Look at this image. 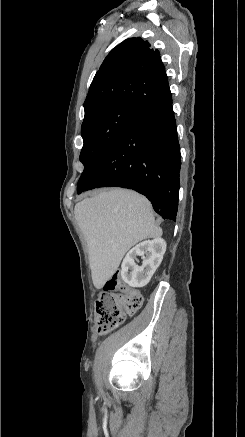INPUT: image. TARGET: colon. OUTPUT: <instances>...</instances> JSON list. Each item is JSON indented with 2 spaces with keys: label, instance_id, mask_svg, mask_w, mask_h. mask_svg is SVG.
Returning a JSON list of instances; mask_svg holds the SVG:
<instances>
[{
  "label": "colon",
  "instance_id": "obj_1",
  "mask_svg": "<svg viewBox=\"0 0 245 437\" xmlns=\"http://www.w3.org/2000/svg\"><path fill=\"white\" fill-rule=\"evenodd\" d=\"M143 304L139 291L128 287L115 273L108 279L95 303L98 329L108 332L122 324L126 317L135 314Z\"/></svg>",
  "mask_w": 245,
  "mask_h": 437
}]
</instances>
